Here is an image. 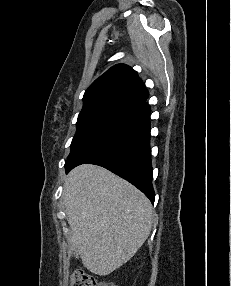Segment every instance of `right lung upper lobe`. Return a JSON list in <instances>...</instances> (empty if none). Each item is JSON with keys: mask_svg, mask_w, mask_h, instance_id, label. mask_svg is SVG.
Returning <instances> with one entry per match:
<instances>
[{"mask_svg": "<svg viewBox=\"0 0 231 286\" xmlns=\"http://www.w3.org/2000/svg\"><path fill=\"white\" fill-rule=\"evenodd\" d=\"M148 98L137 73L127 65L111 67L86 90L83 108L99 104H117L137 111Z\"/></svg>", "mask_w": 231, "mask_h": 286, "instance_id": "obj_1", "label": "right lung upper lobe"}]
</instances>
